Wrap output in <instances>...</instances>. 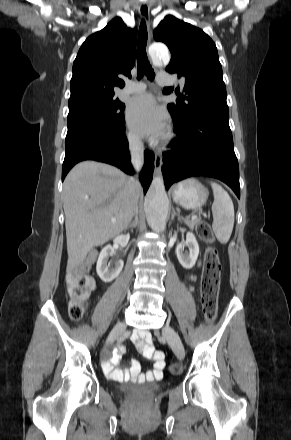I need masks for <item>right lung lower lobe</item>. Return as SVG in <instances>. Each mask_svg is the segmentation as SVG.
<instances>
[{"label":"right lung lower lobe","instance_id":"obj_1","mask_svg":"<svg viewBox=\"0 0 291 440\" xmlns=\"http://www.w3.org/2000/svg\"><path fill=\"white\" fill-rule=\"evenodd\" d=\"M124 123V118L115 124L107 125L90 119H73L68 121L62 181L69 170L83 160L105 162L132 175L134 171L130 162ZM144 159L140 181L144 188V193H146L152 180L154 154L146 150Z\"/></svg>","mask_w":291,"mask_h":440}]
</instances>
